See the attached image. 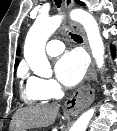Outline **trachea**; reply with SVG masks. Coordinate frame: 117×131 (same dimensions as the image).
I'll use <instances>...</instances> for the list:
<instances>
[{"label":"trachea","instance_id":"obj_1","mask_svg":"<svg viewBox=\"0 0 117 131\" xmlns=\"http://www.w3.org/2000/svg\"><path fill=\"white\" fill-rule=\"evenodd\" d=\"M55 4L60 7L61 6V3H62V0H54ZM71 35V38L78 42V43H81L83 42V39L81 36L77 35V34H72V33H69Z\"/></svg>","mask_w":117,"mask_h":131}]
</instances>
